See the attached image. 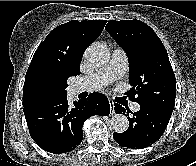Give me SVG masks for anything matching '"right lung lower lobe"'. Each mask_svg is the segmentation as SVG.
<instances>
[{
  "label": "right lung lower lobe",
  "instance_id": "1",
  "mask_svg": "<svg viewBox=\"0 0 196 166\" xmlns=\"http://www.w3.org/2000/svg\"><path fill=\"white\" fill-rule=\"evenodd\" d=\"M69 105L67 95L24 107L30 136L45 151L61 154L75 149L83 138V122L92 115H109L108 98L93 93Z\"/></svg>",
  "mask_w": 196,
  "mask_h": 166
}]
</instances>
